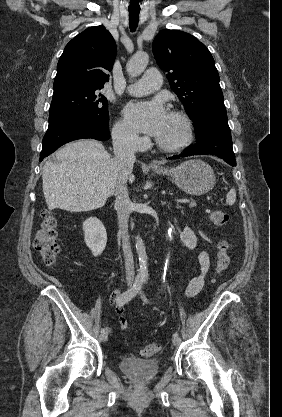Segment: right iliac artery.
I'll return each instance as SVG.
<instances>
[{
  "label": "right iliac artery",
  "instance_id": "82829eb1",
  "mask_svg": "<svg viewBox=\"0 0 282 417\" xmlns=\"http://www.w3.org/2000/svg\"><path fill=\"white\" fill-rule=\"evenodd\" d=\"M142 279H136L133 283L132 287L128 289L127 291L123 292L120 296L117 298L118 304H126L128 303L132 298H134L137 293L139 292L141 285H142ZM106 331V328L101 329V333H104Z\"/></svg>",
  "mask_w": 282,
  "mask_h": 417
}]
</instances>
